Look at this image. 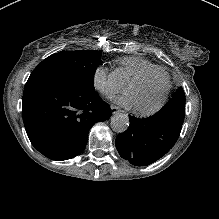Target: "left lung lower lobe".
<instances>
[{
    "instance_id": "left-lung-lower-lobe-1",
    "label": "left lung lower lobe",
    "mask_w": 219,
    "mask_h": 219,
    "mask_svg": "<svg viewBox=\"0 0 219 219\" xmlns=\"http://www.w3.org/2000/svg\"><path fill=\"white\" fill-rule=\"evenodd\" d=\"M130 121L129 129L118 135L116 146L121 157L136 165H147L162 157L182 128L181 124L154 115L146 119L131 116Z\"/></svg>"
}]
</instances>
